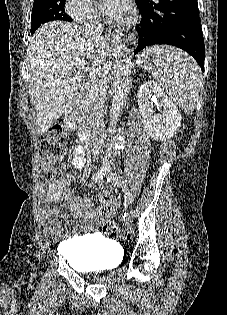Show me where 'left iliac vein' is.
<instances>
[{
    "instance_id": "left-iliac-vein-1",
    "label": "left iliac vein",
    "mask_w": 227,
    "mask_h": 315,
    "mask_svg": "<svg viewBox=\"0 0 227 315\" xmlns=\"http://www.w3.org/2000/svg\"><path fill=\"white\" fill-rule=\"evenodd\" d=\"M134 219V213L132 209H128L126 212V224L130 225L133 222Z\"/></svg>"
}]
</instances>
